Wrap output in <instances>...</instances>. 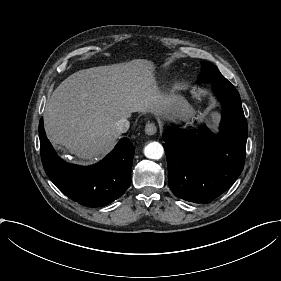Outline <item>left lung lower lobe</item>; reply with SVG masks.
I'll list each match as a JSON object with an SVG mask.
<instances>
[{"instance_id": "left-lung-lower-lobe-1", "label": "left lung lower lobe", "mask_w": 281, "mask_h": 281, "mask_svg": "<svg viewBox=\"0 0 281 281\" xmlns=\"http://www.w3.org/2000/svg\"><path fill=\"white\" fill-rule=\"evenodd\" d=\"M223 108L218 134L203 128L197 134L175 126L163 135L168 183L186 201L209 203L224 193L241 174L248 135L240 95L228 84L213 83Z\"/></svg>"}]
</instances>
